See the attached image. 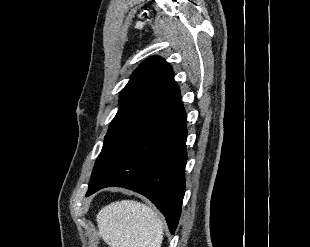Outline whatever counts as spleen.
Returning a JSON list of instances; mask_svg holds the SVG:
<instances>
[{
	"mask_svg": "<svg viewBox=\"0 0 310 247\" xmlns=\"http://www.w3.org/2000/svg\"><path fill=\"white\" fill-rule=\"evenodd\" d=\"M96 220L99 235L110 247H161L163 222L146 204L113 202L99 211Z\"/></svg>",
	"mask_w": 310,
	"mask_h": 247,
	"instance_id": "spleen-1",
	"label": "spleen"
}]
</instances>
